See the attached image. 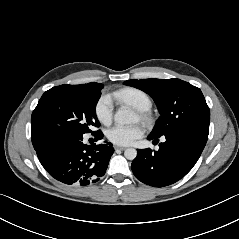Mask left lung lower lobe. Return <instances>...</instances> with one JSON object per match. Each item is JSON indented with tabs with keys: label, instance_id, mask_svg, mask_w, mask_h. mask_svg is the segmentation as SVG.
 Instances as JSON below:
<instances>
[{
	"label": "left lung lower lobe",
	"instance_id": "0a47b994",
	"mask_svg": "<svg viewBox=\"0 0 239 239\" xmlns=\"http://www.w3.org/2000/svg\"><path fill=\"white\" fill-rule=\"evenodd\" d=\"M164 137L166 141L159 144L158 151L137 150L131 165L138 180L154 187L168 186L183 178L199 159L208 139L193 132H173ZM158 138L148 136L157 142Z\"/></svg>",
	"mask_w": 239,
	"mask_h": 239
}]
</instances>
